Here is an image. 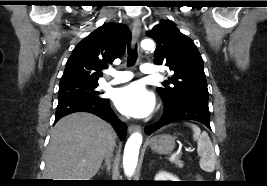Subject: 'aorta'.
I'll use <instances>...</instances> for the list:
<instances>
[{
  "label": "aorta",
  "instance_id": "762f6f07",
  "mask_svg": "<svg viewBox=\"0 0 267 186\" xmlns=\"http://www.w3.org/2000/svg\"><path fill=\"white\" fill-rule=\"evenodd\" d=\"M141 47L144 50L153 51L155 44L153 40L145 39L141 42ZM141 144L142 135L138 132L133 133L126 142L123 155V167L124 173L127 177L133 176L135 172Z\"/></svg>",
  "mask_w": 267,
  "mask_h": 186
}]
</instances>
